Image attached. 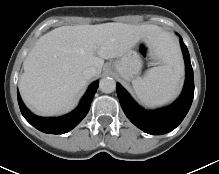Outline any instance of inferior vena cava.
I'll return each mask as SVG.
<instances>
[{"mask_svg": "<svg viewBox=\"0 0 219 174\" xmlns=\"http://www.w3.org/2000/svg\"><path fill=\"white\" fill-rule=\"evenodd\" d=\"M96 74V69L94 67H88L83 71L84 77L89 80Z\"/></svg>", "mask_w": 219, "mask_h": 174, "instance_id": "602c4592", "label": "inferior vena cava"}]
</instances>
